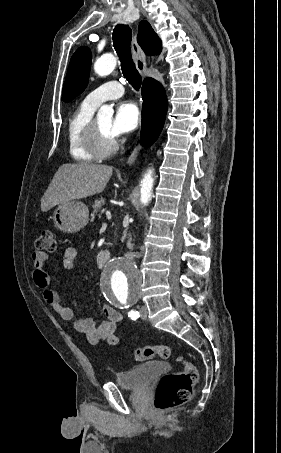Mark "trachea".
<instances>
[{
  "instance_id": "obj_1",
  "label": "trachea",
  "mask_w": 281,
  "mask_h": 453,
  "mask_svg": "<svg viewBox=\"0 0 281 453\" xmlns=\"http://www.w3.org/2000/svg\"><path fill=\"white\" fill-rule=\"evenodd\" d=\"M131 39V28L128 25H117L113 30V46L120 59L122 73L130 85L139 90L142 79L132 60Z\"/></svg>"
}]
</instances>
